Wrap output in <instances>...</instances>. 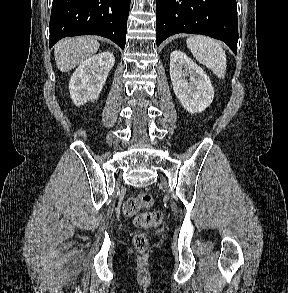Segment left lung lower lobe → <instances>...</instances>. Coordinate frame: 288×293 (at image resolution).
Here are the masks:
<instances>
[{
  "label": "left lung lower lobe",
  "mask_w": 288,
  "mask_h": 293,
  "mask_svg": "<svg viewBox=\"0 0 288 293\" xmlns=\"http://www.w3.org/2000/svg\"><path fill=\"white\" fill-rule=\"evenodd\" d=\"M156 44L177 33L224 41L237 53L236 0H156Z\"/></svg>",
  "instance_id": "left-lung-lower-lobe-1"
}]
</instances>
